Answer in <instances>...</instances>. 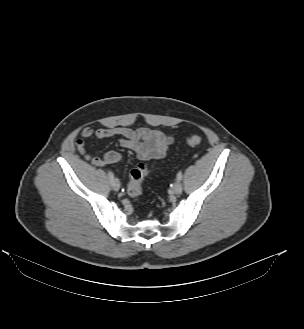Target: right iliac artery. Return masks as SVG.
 <instances>
[{
	"instance_id": "right-iliac-artery-1",
	"label": "right iliac artery",
	"mask_w": 304,
	"mask_h": 329,
	"mask_svg": "<svg viewBox=\"0 0 304 329\" xmlns=\"http://www.w3.org/2000/svg\"><path fill=\"white\" fill-rule=\"evenodd\" d=\"M108 177H109V180H110V184L113 185V183L115 181V178H114L112 172H108Z\"/></svg>"
}]
</instances>
